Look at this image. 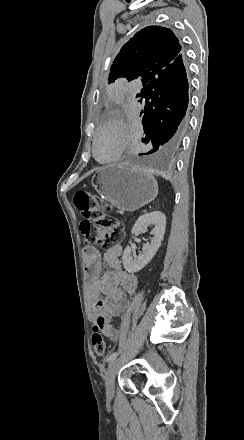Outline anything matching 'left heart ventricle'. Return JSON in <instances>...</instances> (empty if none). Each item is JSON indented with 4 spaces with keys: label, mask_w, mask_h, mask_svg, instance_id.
<instances>
[{
    "label": "left heart ventricle",
    "mask_w": 244,
    "mask_h": 440,
    "mask_svg": "<svg viewBox=\"0 0 244 440\" xmlns=\"http://www.w3.org/2000/svg\"><path fill=\"white\" fill-rule=\"evenodd\" d=\"M112 142L113 135L111 131L105 130L98 135L96 149L99 159L104 160L109 157L111 154Z\"/></svg>",
    "instance_id": "b2bd125f"
}]
</instances>
